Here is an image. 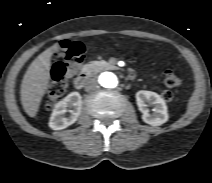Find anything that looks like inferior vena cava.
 <instances>
[{
    "instance_id": "obj_1",
    "label": "inferior vena cava",
    "mask_w": 212,
    "mask_h": 183,
    "mask_svg": "<svg viewBox=\"0 0 212 183\" xmlns=\"http://www.w3.org/2000/svg\"><path fill=\"white\" fill-rule=\"evenodd\" d=\"M98 87H99V85H98L97 80L92 78L86 82L85 90L90 92V91L96 90Z\"/></svg>"
}]
</instances>
